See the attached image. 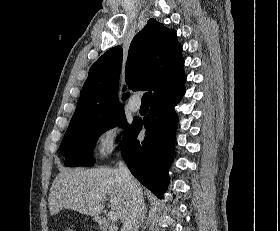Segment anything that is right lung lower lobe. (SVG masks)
Here are the masks:
<instances>
[{"instance_id":"1","label":"right lung lower lobe","mask_w":280,"mask_h":231,"mask_svg":"<svg viewBox=\"0 0 280 231\" xmlns=\"http://www.w3.org/2000/svg\"><path fill=\"white\" fill-rule=\"evenodd\" d=\"M182 87L152 100L150 111L143 119L146 128L143 141L137 140L142 124L133 122L121 144L122 155L132 174L159 198L169 181L178 122L174 106L185 92Z\"/></svg>"}]
</instances>
